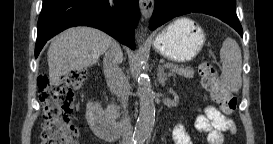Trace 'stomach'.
<instances>
[{"label":"stomach","mask_w":273,"mask_h":144,"mask_svg":"<svg viewBox=\"0 0 273 144\" xmlns=\"http://www.w3.org/2000/svg\"><path fill=\"white\" fill-rule=\"evenodd\" d=\"M204 43V30L193 20L185 17L169 24L153 39L154 49L174 62H188L194 59Z\"/></svg>","instance_id":"stomach-1"}]
</instances>
